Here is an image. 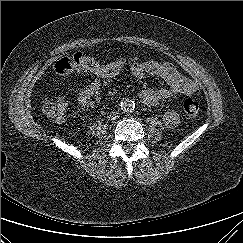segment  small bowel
Listing matches in <instances>:
<instances>
[{"instance_id": "obj_1", "label": "small bowel", "mask_w": 243, "mask_h": 243, "mask_svg": "<svg viewBox=\"0 0 243 243\" xmlns=\"http://www.w3.org/2000/svg\"><path fill=\"white\" fill-rule=\"evenodd\" d=\"M130 69L136 78L153 76L160 78L167 84L166 88L152 90L145 89L139 93L140 100L148 105L155 106L160 101L176 95H192L197 91V84L182 75L172 64L164 61L145 60L140 56L129 59ZM111 80H91L77 95L78 103L85 109H92L100 100V89ZM168 127H176L180 122V114L175 109H169L163 116Z\"/></svg>"}]
</instances>
